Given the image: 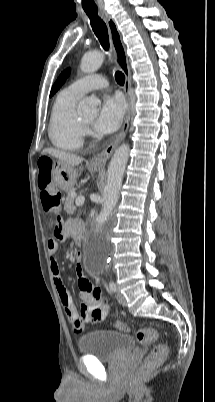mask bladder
Returning <instances> with one entry per match:
<instances>
[{"instance_id": "bladder-1", "label": "bladder", "mask_w": 215, "mask_h": 402, "mask_svg": "<svg viewBox=\"0 0 215 402\" xmlns=\"http://www.w3.org/2000/svg\"><path fill=\"white\" fill-rule=\"evenodd\" d=\"M78 347L85 355L102 362H113L130 353L135 348V340L125 333L94 330L79 338Z\"/></svg>"}]
</instances>
